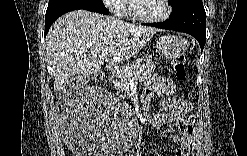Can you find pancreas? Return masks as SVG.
<instances>
[{"label": "pancreas", "mask_w": 247, "mask_h": 156, "mask_svg": "<svg viewBox=\"0 0 247 156\" xmlns=\"http://www.w3.org/2000/svg\"><path fill=\"white\" fill-rule=\"evenodd\" d=\"M155 70L151 59H140L131 65H127L114 71L110 81L114 87L121 91H128L130 82L139 83L148 80Z\"/></svg>", "instance_id": "1"}]
</instances>
